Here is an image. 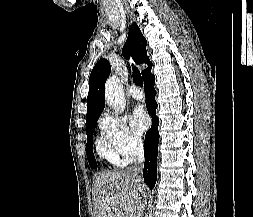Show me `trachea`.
Masks as SVG:
<instances>
[{"mask_svg": "<svg viewBox=\"0 0 253 217\" xmlns=\"http://www.w3.org/2000/svg\"><path fill=\"white\" fill-rule=\"evenodd\" d=\"M133 78L140 87H143V78L136 66L133 67Z\"/></svg>", "mask_w": 253, "mask_h": 217, "instance_id": "1", "label": "trachea"}]
</instances>
